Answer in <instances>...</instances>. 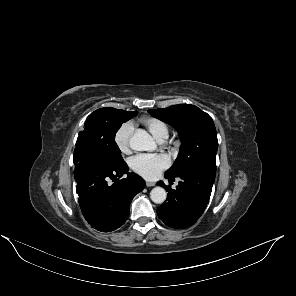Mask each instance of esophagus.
Wrapping results in <instances>:
<instances>
[{"label": "esophagus", "instance_id": "esophagus-1", "mask_svg": "<svg viewBox=\"0 0 296 296\" xmlns=\"http://www.w3.org/2000/svg\"><path fill=\"white\" fill-rule=\"evenodd\" d=\"M146 186H147V187L155 186V182L146 181Z\"/></svg>", "mask_w": 296, "mask_h": 296}]
</instances>
